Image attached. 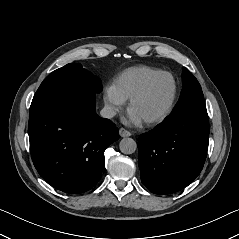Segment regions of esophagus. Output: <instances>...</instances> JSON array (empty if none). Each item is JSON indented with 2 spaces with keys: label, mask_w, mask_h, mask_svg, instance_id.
<instances>
[{
  "label": "esophagus",
  "mask_w": 239,
  "mask_h": 239,
  "mask_svg": "<svg viewBox=\"0 0 239 239\" xmlns=\"http://www.w3.org/2000/svg\"><path fill=\"white\" fill-rule=\"evenodd\" d=\"M119 135L121 137H129V136H131V132L126 130L125 128H120L119 129Z\"/></svg>",
  "instance_id": "1"
}]
</instances>
